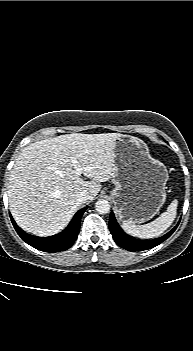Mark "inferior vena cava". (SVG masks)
<instances>
[{"label": "inferior vena cava", "instance_id": "1", "mask_svg": "<svg viewBox=\"0 0 193 351\" xmlns=\"http://www.w3.org/2000/svg\"><path fill=\"white\" fill-rule=\"evenodd\" d=\"M76 198H77L78 204H84L88 201L89 196L87 192H80Z\"/></svg>", "mask_w": 193, "mask_h": 351}]
</instances>
